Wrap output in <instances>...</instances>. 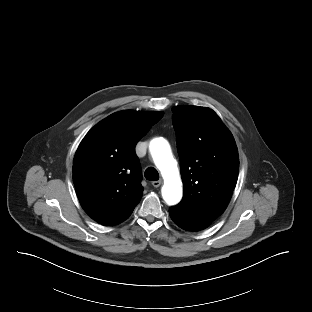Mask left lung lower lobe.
I'll use <instances>...</instances> for the list:
<instances>
[{
	"mask_svg": "<svg viewBox=\"0 0 312 312\" xmlns=\"http://www.w3.org/2000/svg\"><path fill=\"white\" fill-rule=\"evenodd\" d=\"M169 214L172 220L181 228L188 231L202 230L208 227L211 223L191 217L175 207L169 209Z\"/></svg>",
	"mask_w": 312,
	"mask_h": 312,
	"instance_id": "0a47b994",
	"label": "left lung lower lobe"
}]
</instances>
